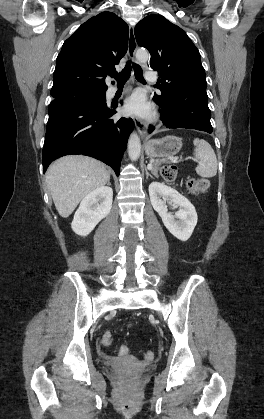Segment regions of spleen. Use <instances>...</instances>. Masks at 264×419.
Wrapping results in <instances>:
<instances>
[{"label":"spleen","mask_w":264,"mask_h":419,"mask_svg":"<svg viewBox=\"0 0 264 419\" xmlns=\"http://www.w3.org/2000/svg\"><path fill=\"white\" fill-rule=\"evenodd\" d=\"M195 157L199 160L196 173L201 177H213L217 173V158L211 145L204 139L194 138Z\"/></svg>","instance_id":"obj_1"}]
</instances>
